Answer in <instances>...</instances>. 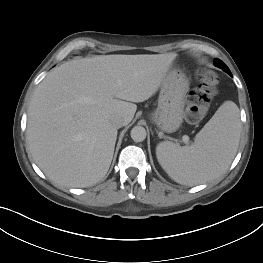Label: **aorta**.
<instances>
[{
  "label": "aorta",
  "mask_w": 263,
  "mask_h": 263,
  "mask_svg": "<svg viewBox=\"0 0 263 263\" xmlns=\"http://www.w3.org/2000/svg\"><path fill=\"white\" fill-rule=\"evenodd\" d=\"M130 135H131V138L133 139V141L142 142L145 140L147 133H146V130L144 127L135 126L132 128Z\"/></svg>",
  "instance_id": "obj_1"
}]
</instances>
